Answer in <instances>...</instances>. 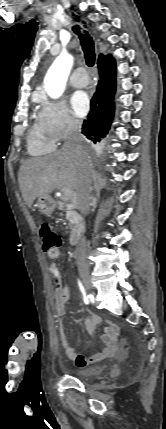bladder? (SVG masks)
Here are the masks:
<instances>
[{"mask_svg": "<svg viewBox=\"0 0 166 429\" xmlns=\"http://www.w3.org/2000/svg\"><path fill=\"white\" fill-rule=\"evenodd\" d=\"M106 370L105 366H95V367H90V368H86V369H82V370H78L76 372H74L72 375L74 377H76L77 379L80 380H84V379H88V378H95L98 377L100 375H102Z\"/></svg>", "mask_w": 166, "mask_h": 429, "instance_id": "obj_1", "label": "bladder"}]
</instances>
